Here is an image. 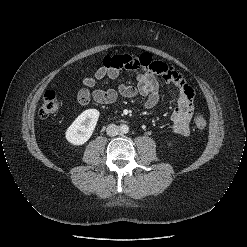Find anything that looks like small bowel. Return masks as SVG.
Returning <instances> with one entry per match:
<instances>
[{
	"label": "small bowel",
	"mask_w": 247,
	"mask_h": 247,
	"mask_svg": "<svg viewBox=\"0 0 247 247\" xmlns=\"http://www.w3.org/2000/svg\"><path fill=\"white\" fill-rule=\"evenodd\" d=\"M124 69H142L136 75L135 85L120 84L114 89L89 91L104 78L117 79ZM159 77L173 84L177 90L176 107L170 117L171 129L178 135L187 136L190 132L189 123L194 111V91L181 73L164 62L154 60L149 53L106 56L103 65L94 76L83 79L85 88L78 93L77 99L81 105H87L91 99L102 105H110L119 96L132 98L141 95L146 97L145 107L151 109L159 102Z\"/></svg>",
	"instance_id": "c3829d8e"
}]
</instances>
